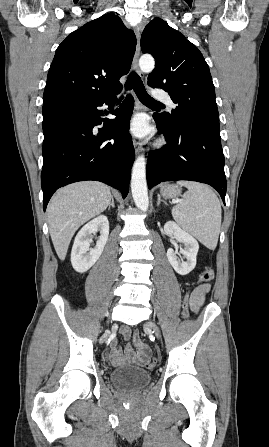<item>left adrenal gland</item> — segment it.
<instances>
[{"instance_id": "1", "label": "left adrenal gland", "mask_w": 269, "mask_h": 447, "mask_svg": "<svg viewBox=\"0 0 269 447\" xmlns=\"http://www.w3.org/2000/svg\"><path fill=\"white\" fill-rule=\"evenodd\" d=\"M157 196H158L157 206H159V204H161V202H163V204H166V202H164V200H161L160 194H157Z\"/></svg>"}]
</instances>
